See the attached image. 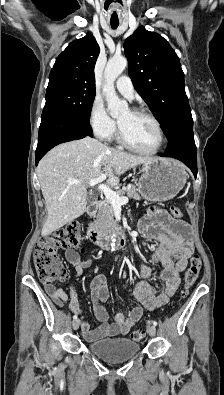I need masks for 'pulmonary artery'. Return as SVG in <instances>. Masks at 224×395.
Masks as SVG:
<instances>
[{"mask_svg": "<svg viewBox=\"0 0 224 395\" xmlns=\"http://www.w3.org/2000/svg\"><path fill=\"white\" fill-rule=\"evenodd\" d=\"M116 88L124 97L132 99L134 97V87L128 76H121L116 81Z\"/></svg>", "mask_w": 224, "mask_h": 395, "instance_id": "pulmonary-artery-1", "label": "pulmonary artery"}]
</instances>
